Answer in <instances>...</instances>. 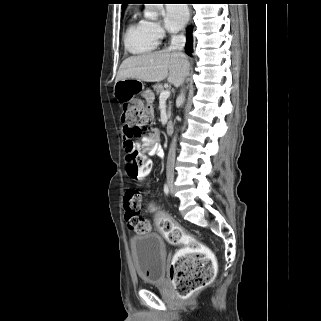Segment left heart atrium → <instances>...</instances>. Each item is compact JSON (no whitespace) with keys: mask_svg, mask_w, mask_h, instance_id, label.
Instances as JSON below:
<instances>
[{"mask_svg":"<svg viewBox=\"0 0 321 321\" xmlns=\"http://www.w3.org/2000/svg\"><path fill=\"white\" fill-rule=\"evenodd\" d=\"M188 19V9L183 4H168L164 10V22L170 31L180 30Z\"/></svg>","mask_w":321,"mask_h":321,"instance_id":"left-heart-atrium-1","label":"left heart atrium"}]
</instances>
